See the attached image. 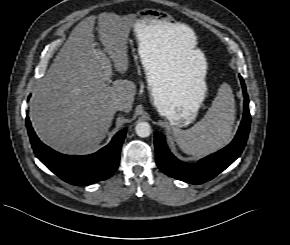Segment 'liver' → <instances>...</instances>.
Instances as JSON below:
<instances>
[{"label": "liver", "mask_w": 290, "mask_h": 245, "mask_svg": "<svg viewBox=\"0 0 290 245\" xmlns=\"http://www.w3.org/2000/svg\"><path fill=\"white\" fill-rule=\"evenodd\" d=\"M95 17L83 19L72 30L46 75L39 81L30 101L29 116L38 137L55 150L66 154L86 153L102 142L115 112V101L129 113L136 85L126 79L112 85L103 80L104 52L94 41ZM132 17L102 13L98 16L99 38L116 71L129 67L127 40ZM165 39L177 59L185 66L193 62L190 29L182 24H166Z\"/></svg>", "instance_id": "1"}]
</instances>
